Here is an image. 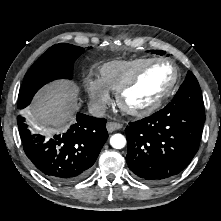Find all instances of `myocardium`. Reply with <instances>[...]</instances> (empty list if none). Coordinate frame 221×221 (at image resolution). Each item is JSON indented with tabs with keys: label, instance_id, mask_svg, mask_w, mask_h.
I'll use <instances>...</instances> for the list:
<instances>
[{
	"label": "myocardium",
	"instance_id": "obj_1",
	"mask_svg": "<svg viewBox=\"0 0 221 221\" xmlns=\"http://www.w3.org/2000/svg\"><path fill=\"white\" fill-rule=\"evenodd\" d=\"M155 64H166L171 67L173 71L172 80L168 87L149 105L144 107L134 108L130 106L125 99L127 92L132 89L140 80V78L147 72V70ZM180 73L177 65L171 60L166 58L151 59L146 62L131 78H129L124 84H122L116 92V101L119 108L126 114L134 117H145L154 113L159 109L165 100L173 93L175 90Z\"/></svg>",
	"mask_w": 221,
	"mask_h": 221
}]
</instances>
